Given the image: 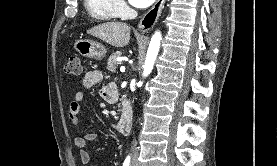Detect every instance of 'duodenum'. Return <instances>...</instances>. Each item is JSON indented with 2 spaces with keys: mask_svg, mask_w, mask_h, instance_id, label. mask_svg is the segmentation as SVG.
<instances>
[{
  "mask_svg": "<svg viewBox=\"0 0 277 166\" xmlns=\"http://www.w3.org/2000/svg\"><path fill=\"white\" fill-rule=\"evenodd\" d=\"M132 109L127 100H123L121 104V115L119 117L117 128L121 133H128L131 126Z\"/></svg>",
  "mask_w": 277,
  "mask_h": 166,
  "instance_id": "duodenum-1",
  "label": "duodenum"
}]
</instances>
